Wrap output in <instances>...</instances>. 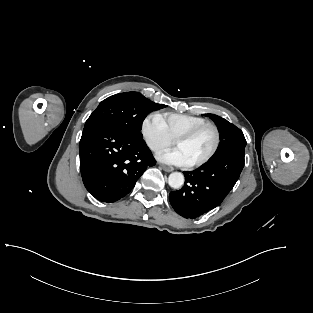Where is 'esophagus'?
I'll use <instances>...</instances> for the list:
<instances>
[{
    "mask_svg": "<svg viewBox=\"0 0 313 313\" xmlns=\"http://www.w3.org/2000/svg\"><path fill=\"white\" fill-rule=\"evenodd\" d=\"M161 169H163L166 172H172L174 170L173 167L165 165H161Z\"/></svg>",
    "mask_w": 313,
    "mask_h": 313,
    "instance_id": "esophagus-1",
    "label": "esophagus"
}]
</instances>
